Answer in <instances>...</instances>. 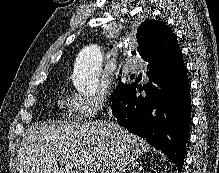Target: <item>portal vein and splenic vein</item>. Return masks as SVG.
<instances>
[{
    "label": "portal vein and splenic vein",
    "mask_w": 219,
    "mask_h": 173,
    "mask_svg": "<svg viewBox=\"0 0 219 173\" xmlns=\"http://www.w3.org/2000/svg\"><path fill=\"white\" fill-rule=\"evenodd\" d=\"M84 173H94V172H89L88 169H85Z\"/></svg>",
    "instance_id": "portal-vein-and-splenic-vein-1"
}]
</instances>
